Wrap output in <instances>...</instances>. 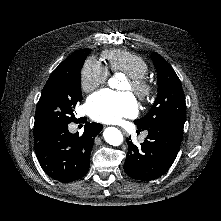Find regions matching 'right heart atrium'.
I'll use <instances>...</instances> for the list:
<instances>
[{
    "instance_id": "1",
    "label": "right heart atrium",
    "mask_w": 221,
    "mask_h": 221,
    "mask_svg": "<svg viewBox=\"0 0 221 221\" xmlns=\"http://www.w3.org/2000/svg\"><path fill=\"white\" fill-rule=\"evenodd\" d=\"M109 73L107 68L96 58H88L80 71V87L84 92H91L105 84Z\"/></svg>"
}]
</instances>
